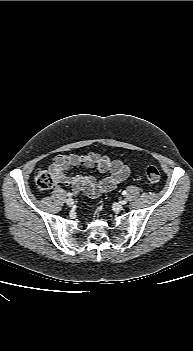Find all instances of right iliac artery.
I'll return each mask as SVG.
<instances>
[{
  "label": "right iliac artery",
  "mask_w": 193,
  "mask_h": 351,
  "mask_svg": "<svg viewBox=\"0 0 193 351\" xmlns=\"http://www.w3.org/2000/svg\"><path fill=\"white\" fill-rule=\"evenodd\" d=\"M67 196L71 197V196H72V193H67Z\"/></svg>",
  "instance_id": "right-iliac-artery-1"
}]
</instances>
